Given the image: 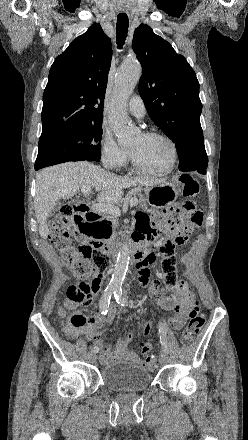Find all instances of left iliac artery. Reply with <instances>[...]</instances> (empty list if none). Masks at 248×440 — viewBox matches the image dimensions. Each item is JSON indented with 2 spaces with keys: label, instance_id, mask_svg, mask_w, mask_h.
Instances as JSON below:
<instances>
[{
  "label": "left iliac artery",
  "instance_id": "left-iliac-artery-1",
  "mask_svg": "<svg viewBox=\"0 0 248 440\" xmlns=\"http://www.w3.org/2000/svg\"><path fill=\"white\" fill-rule=\"evenodd\" d=\"M114 297L117 301V303L121 304L122 306L127 305V300L125 297H123V292L121 287H117L114 290ZM160 332V342L163 347V351L168 353V345H167V338H166V332L163 328L159 329Z\"/></svg>",
  "mask_w": 248,
  "mask_h": 440
}]
</instances>
